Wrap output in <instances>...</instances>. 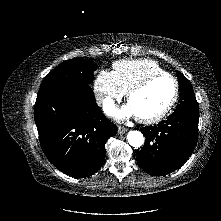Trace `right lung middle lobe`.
Wrapping results in <instances>:
<instances>
[{"mask_svg":"<svg viewBox=\"0 0 221 221\" xmlns=\"http://www.w3.org/2000/svg\"><path fill=\"white\" fill-rule=\"evenodd\" d=\"M97 65L88 59H70L59 64L43 81L39 92L70 87L80 83L90 84Z\"/></svg>","mask_w":221,"mask_h":221,"instance_id":"1","label":"right lung middle lobe"}]
</instances>
